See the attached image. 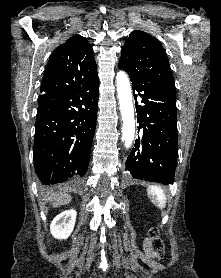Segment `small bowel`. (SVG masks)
I'll return each instance as SVG.
<instances>
[{"mask_svg": "<svg viewBox=\"0 0 221 278\" xmlns=\"http://www.w3.org/2000/svg\"><path fill=\"white\" fill-rule=\"evenodd\" d=\"M145 250L147 253L151 254L150 247H149V241L145 242Z\"/></svg>", "mask_w": 221, "mask_h": 278, "instance_id": "c3829d8e", "label": "small bowel"}]
</instances>
